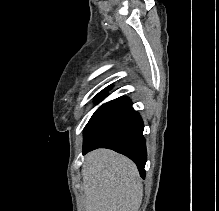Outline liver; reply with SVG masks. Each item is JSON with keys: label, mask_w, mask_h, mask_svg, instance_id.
<instances>
[{"label": "liver", "mask_w": 219, "mask_h": 211, "mask_svg": "<svg viewBox=\"0 0 219 211\" xmlns=\"http://www.w3.org/2000/svg\"><path fill=\"white\" fill-rule=\"evenodd\" d=\"M85 211H138L143 183L134 161L112 149H94L82 165Z\"/></svg>", "instance_id": "1"}]
</instances>
